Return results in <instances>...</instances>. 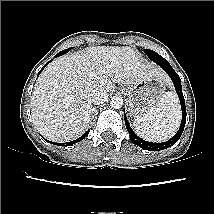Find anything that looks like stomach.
Returning <instances> with one entry per match:
<instances>
[{
	"instance_id": "obj_1",
	"label": "stomach",
	"mask_w": 214,
	"mask_h": 214,
	"mask_svg": "<svg viewBox=\"0 0 214 214\" xmlns=\"http://www.w3.org/2000/svg\"><path fill=\"white\" fill-rule=\"evenodd\" d=\"M165 86L164 80L158 77L122 86L120 90L127 96L129 114L137 117L147 113L160 101Z\"/></svg>"
}]
</instances>
